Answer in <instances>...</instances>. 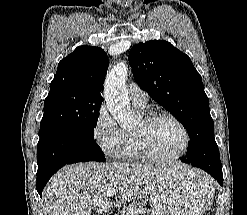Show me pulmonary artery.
Wrapping results in <instances>:
<instances>
[{
  "instance_id": "obj_1",
  "label": "pulmonary artery",
  "mask_w": 247,
  "mask_h": 215,
  "mask_svg": "<svg viewBox=\"0 0 247 215\" xmlns=\"http://www.w3.org/2000/svg\"><path fill=\"white\" fill-rule=\"evenodd\" d=\"M130 101L138 109H143L147 103L148 95L137 84L131 83L128 86Z\"/></svg>"
}]
</instances>
